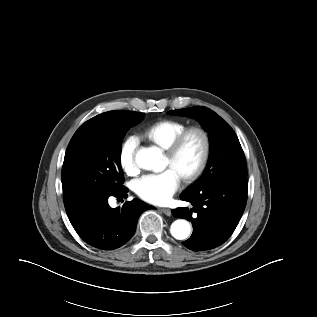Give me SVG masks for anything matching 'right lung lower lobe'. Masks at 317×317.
Instances as JSON below:
<instances>
[{
    "label": "right lung lower lobe",
    "instance_id": "1",
    "mask_svg": "<svg viewBox=\"0 0 317 317\" xmlns=\"http://www.w3.org/2000/svg\"><path fill=\"white\" fill-rule=\"evenodd\" d=\"M127 191L124 188L78 206L65 207L72 226L87 244L113 250L134 235L140 214L154 207L137 199L125 202L122 208L108 205L110 195L127 197Z\"/></svg>",
    "mask_w": 317,
    "mask_h": 317
}]
</instances>
